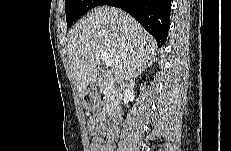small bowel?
Here are the masks:
<instances>
[{
    "mask_svg": "<svg viewBox=\"0 0 231 151\" xmlns=\"http://www.w3.org/2000/svg\"><path fill=\"white\" fill-rule=\"evenodd\" d=\"M101 113L90 117L88 126L91 135V151H112L111 131L103 124Z\"/></svg>",
    "mask_w": 231,
    "mask_h": 151,
    "instance_id": "obj_1",
    "label": "small bowel"
}]
</instances>
